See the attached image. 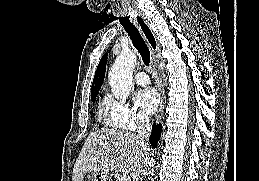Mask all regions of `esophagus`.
Returning a JSON list of instances; mask_svg holds the SVG:
<instances>
[{
  "label": "esophagus",
  "instance_id": "1",
  "mask_svg": "<svg viewBox=\"0 0 259 181\" xmlns=\"http://www.w3.org/2000/svg\"><path fill=\"white\" fill-rule=\"evenodd\" d=\"M133 18H134L135 22L137 23V25L139 26L153 55L156 56L159 53V43H158L156 35L152 31L150 25L148 24V22L145 20V18L140 13H134ZM164 107H165V95H164V93H162V104L160 107L158 121H160L162 119Z\"/></svg>",
  "mask_w": 259,
  "mask_h": 181
}]
</instances>
